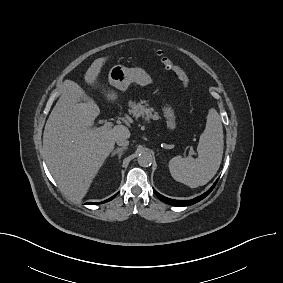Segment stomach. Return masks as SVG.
I'll use <instances>...</instances> for the list:
<instances>
[{
  "mask_svg": "<svg viewBox=\"0 0 283 283\" xmlns=\"http://www.w3.org/2000/svg\"><path fill=\"white\" fill-rule=\"evenodd\" d=\"M109 84L115 88L125 91L130 83L135 82L141 86H146L153 82L151 76L142 68H127L123 65L113 66L108 75ZM163 116L166 119L167 128H176V116L171 106L162 108Z\"/></svg>",
  "mask_w": 283,
  "mask_h": 283,
  "instance_id": "0dacf381",
  "label": "stomach"
}]
</instances>
